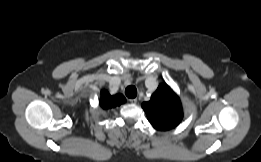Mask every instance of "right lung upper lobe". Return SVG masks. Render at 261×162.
I'll use <instances>...</instances> for the list:
<instances>
[{
	"instance_id": "obj_1",
	"label": "right lung upper lobe",
	"mask_w": 261,
	"mask_h": 162,
	"mask_svg": "<svg viewBox=\"0 0 261 162\" xmlns=\"http://www.w3.org/2000/svg\"><path fill=\"white\" fill-rule=\"evenodd\" d=\"M126 99L122 94L110 95L108 91H101L100 106L103 109H110L125 103Z\"/></svg>"
}]
</instances>
